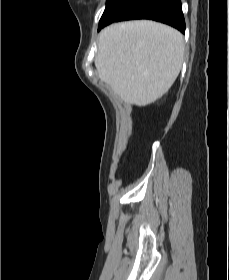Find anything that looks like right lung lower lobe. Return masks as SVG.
Segmentation results:
<instances>
[{"label": "right lung lower lobe", "instance_id": "1", "mask_svg": "<svg viewBox=\"0 0 229 280\" xmlns=\"http://www.w3.org/2000/svg\"><path fill=\"white\" fill-rule=\"evenodd\" d=\"M131 19H151L185 32L180 0H116L99 23V30L115 21Z\"/></svg>", "mask_w": 229, "mask_h": 280}]
</instances>
